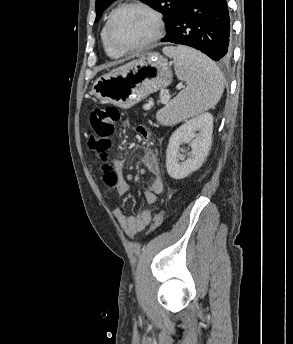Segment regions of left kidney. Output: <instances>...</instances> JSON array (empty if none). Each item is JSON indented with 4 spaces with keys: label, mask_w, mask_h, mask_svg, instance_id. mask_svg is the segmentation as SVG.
Here are the masks:
<instances>
[{
    "label": "left kidney",
    "mask_w": 293,
    "mask_h": 344,
    "mask_svg": "<svg viewBox=\"0 0 293 344\" xmlns=\"http://www.w3.org/2000/svg\"><path fill=\"white\" fill-rule=\"evenodd\" d=\"M212 132L213 116L208 112L186 121L173 132L166 151V168L170 177L183 179L202 166L212 144ZM183 143H189L192 149L187 160L179 153Z\"/></svg>",
    "instance_id": "obj_1"
}]
</instances>
